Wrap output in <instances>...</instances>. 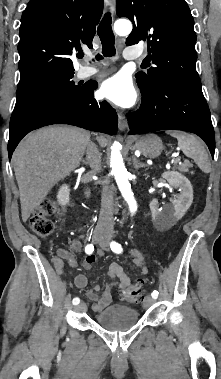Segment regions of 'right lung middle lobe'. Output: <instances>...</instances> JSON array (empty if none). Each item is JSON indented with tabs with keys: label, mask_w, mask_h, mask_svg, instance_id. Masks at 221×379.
Here are the masks:
<instances>
[{
	"label": "right lung middle lobe",
	"mask_w": 221,
	"mask_h": 379,
	"mask_svg": "<svg viewBox=\"0 0 221 379\" xmlns=\"http://www.w3.org/2000/svg\"><path fill=\"white\" fill-rule=\"evenodd\" d=\"M73 76V70H56L20 81L10 127L41 106L68 100L82 92L86 85L75 84Z\"/></svg>",
	"instance_id": "1"
}]
</instances>
